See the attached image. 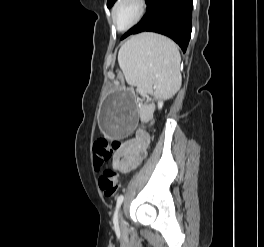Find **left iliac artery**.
<instances>
[{"label":"left iliac artery","mask_w":264,"mask_h":247,"mask_svg":"<svg viewBox=\"0 0 264 247\" xmlns=\"http://www.w3.org/2000/svg\"><path fill=\"white\" fill-rule=\"evenodd\" d=\"M123 200H124V196L123 195H119L118 198H117L116 209H115L114 217H113V220L115 222L118 221V211H119V208H120Z\"/></svg>","instance_id":"1"}]
</instances>
